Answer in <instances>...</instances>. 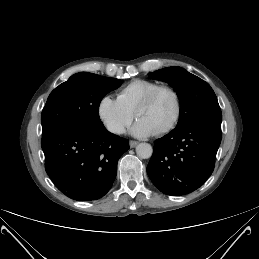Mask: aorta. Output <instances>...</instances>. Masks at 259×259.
<instances>
[{"label":"aorta","instance_id":"aorta-1","mask_svg":"<svg viewBox=\"0 0 259 259\" xmlns=\"http://www.w3.org/2000/svg\"><path fill=\"white\" fill-rule=\"evenodd\" d=\"M136 153L142 159H148L152 156L153 148L148 143H140L136 146Z\"/></svg>","mask_w":259,"mask_h":259}]
</instances>
